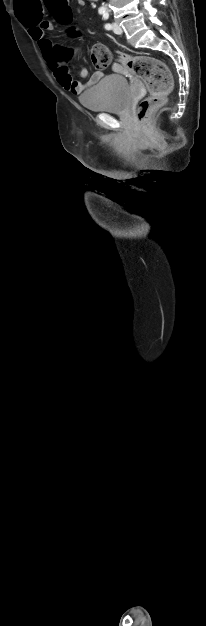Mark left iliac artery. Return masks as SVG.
Segmentation results:
<instances>
[{"instance_id": "left-iliac-artery-1", "label": "left iliac artery", "mask_w": 206, "mask_h": 626, "mask_svg": "<svg viewBox=\"0 0 206 626\" xmlns=\"http://www.w3.org/2000/svg\"><path fill=\"white\" fill-rule=\"evenodd\" d=\"M108 17H109V14H108L107 12H105V13L103 14V19H104V20H107V19H108ZM104 27H105V29H106V30H111V29H112V25H111L110 23H106V24L104 25Z\"/></svg>"}]
</instances>
